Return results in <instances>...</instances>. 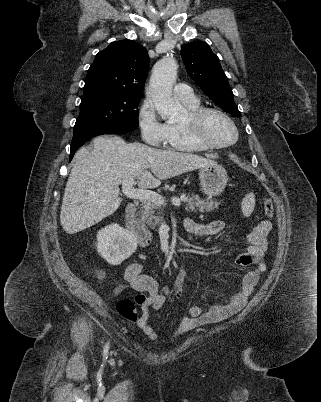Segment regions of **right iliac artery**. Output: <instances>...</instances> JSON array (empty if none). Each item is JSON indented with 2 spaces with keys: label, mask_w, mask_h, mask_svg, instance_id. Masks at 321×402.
Here are the masks:
<instances>
[{
  "label": "right iliac artery",
  "mask_w": 321,
  "mask_h": 402,
  "mask_svg": "<svg viewBox=\"0 0 321 402\" xmlns=\"http://www.w3.org/2000/svg\"><path fill=\"white\" fill-rule=\"evenodd\" d=\"M108 349H109V343L106 344V346L104 347V357H106V358H107Z\"/></svg>",
  "instance_id": "1"
}]
</instances>
